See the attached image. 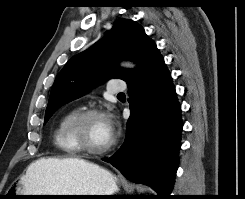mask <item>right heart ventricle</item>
Returning a JSON list of instances; mask_svg holds the SVG:
<instances>
[{"mask_svg":"<svg viewBox=\"0 0 245 199\" xmlns=\"http://www.w3.org/2000/svg\"><path fill=\"white\" fill-rule=\"evenodd\" d=\"M76 114L77 110H70L65 113L60 119L53 134L56 147L67 156H75L79 153V150L74 146L69 135V124Z\"/></svg>","mask_w":245,"mask_h":199,"instance_id":"e07e8e85","label":"right heart ventricle"}]
</instances>
